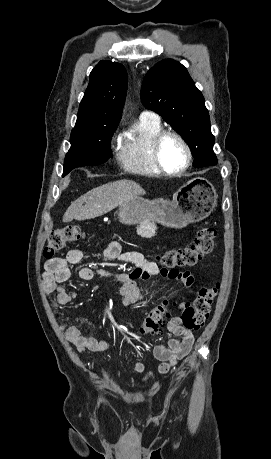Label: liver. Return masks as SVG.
Returning a JSON list of instances; mask_svg holds the SVG:
<instances>
[{
	"mask_svg": "<svg viewBox=\"0 0 271 459\" xmlns=\"http://www.w3.org/2000/svg\"><path fill=\"white\" fill-rule=\"evenodd\" d=\"M144 194H146L145 190L132 180H119V182L104 184V186L90 190L75 202H71V206L63 216V222H72V220L80 222V220H91V218L103 216L117 206L138 198V196H144Z\"/></svg>",
	"mask_w": 271,
	"mask_h": 459,
	"instance_id": "6515ba94",
	"label": "liver"
}]
</instances>
